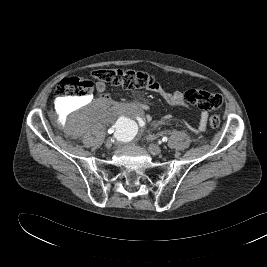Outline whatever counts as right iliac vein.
I'll list each match as a JSON object with an SVG mask.
<instances>
[{
  "mask_svg": "<svg viewBox=\"0 0 267 267\" xmlns=\"http://www.w3.org/2000/svg\"><path fill=\"white\" fill-rule=\"evenodd\" d=\"M105 146H106L107 148H110V147L112 146V140H111L110 138H108V139L106 140V142H105Z\"/></svg>",
  "mask_w": 267,
  "mask_h": 267,
  "instance_id": "1",
  "label": "right iliac vein"
}]
</instances>
